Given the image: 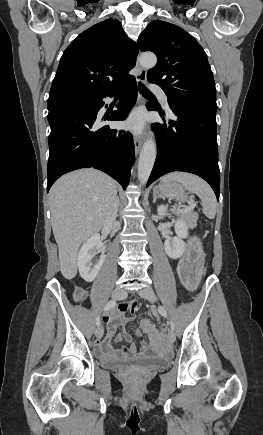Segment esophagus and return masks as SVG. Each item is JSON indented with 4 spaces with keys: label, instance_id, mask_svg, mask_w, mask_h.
I'll return each instance as SVG.
<instances>
[{
    "label": "esophagus",
    "instance_id": "obj_1",
    "mask_svg": "<svg viewBox=\"0 0 263 435\" xmlns=\"http://www.w3.org/2000/svg\"><path fill=\"white\" fill-rule=\"evenodd\" d=\"M136 68L138 69V75L136 77L137 81L141 83L146 82L147 71L144 68H142L138 60L136 63ZM134 146H135V152L137 154L142 146L141 137L134 136Z\"/></svg>",
    "mask_w": 263,
    "mask_h": 435
}]
</instances>
